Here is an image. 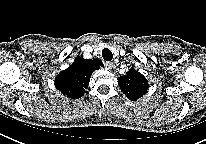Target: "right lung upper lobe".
I'll list each match as a JSON object with an SVG mask.
<instances>
[{"instance_id":"cb5924a9","label":"right lung upper lobe","mask_w":206,"mask_h":144,"mask_svg":"<svg viewBox=\"0 0 206 144\" xmlns=\"http://www.w3.org/2000/svg\"><path fill=\"white\" fill-rule=\"evenodd\" d=\"M103 66L100 60L78 57L70 67L58 74L55 80L57 89L67 97L80 98L85 93L91 74Z\"/></svg>"}]
</instances>
